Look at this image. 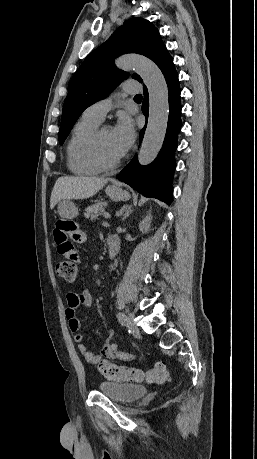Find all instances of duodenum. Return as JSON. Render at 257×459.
Listing matches in <instances>:
<instances>
[{
    "label": "duodenum",
    "mask_w": 257,
    "mask_h": 459,
    "mask_svg": "<svg viewBox=\"0 0 257 459\" xmlns=\"http://www.w3.org/2000/svg\"><path fill=\"white\" fill-rule=\"evenodd\" d=\"M107 248H108V255L110 258H115L119 252V241L118 239L110 235L107 239Z\"/></svg>",
    "instance_id": "obj_1"
}]
</instances>
